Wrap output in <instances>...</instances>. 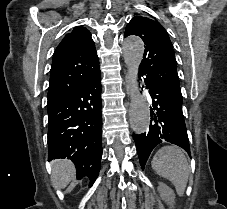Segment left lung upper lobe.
Returning a JSON list of instances; mask_svg holds the SVG:
<instances>
[{"instance_id":"1","label":"left lung upper lobe","mask_w":227,"mask_h":209,"mask_svg":"<svg viewBox=\"0 0 227 209\" xmlns=\"http://www.w3.org/2000/svg\"><path fill=\"white\" fill-rule=\"evenodd\" d=\"M137 35L145 44L143 59L139 66L145 80L170 94L182 98L177 62L170 38L157 21L135 14L127 24L124 36Z\"/></svg>"}]
</instances>
